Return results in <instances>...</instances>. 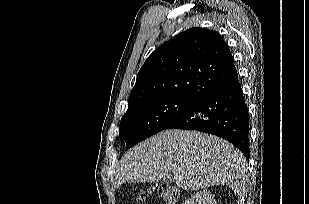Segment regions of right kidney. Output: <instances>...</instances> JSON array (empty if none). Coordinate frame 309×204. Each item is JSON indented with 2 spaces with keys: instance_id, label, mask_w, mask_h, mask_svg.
<instances>
[{
  "instance_id": "1",
  "label": "right kidney",
  "mask_w": 309,
  "mask_h": 204,
  "mask_svg": "<svg viewBox=\"0 0 309 204\" xmlns=\"http://www.w3.org/2000/svg\"><path fill=\"white\" fill-rule=\"evenodd\" d=\"M184 204H216L210 191H200L191 198L187 199Z\"/></svg>"
}]
</instances>
